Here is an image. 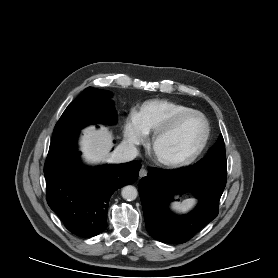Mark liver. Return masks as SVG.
<instances>
[{"instance_id":"obj_1","label":"liver","mask_w":278,"mask_h":278,"mask_svg":"<svg viewBox=\"0 0 278 278\" xmlns=\"http://www.w3.org/2000/svg\"><path fill=\"white\" fill-rule=\"evenodd\" d=\"M82 132L80 150L83 153L84 163L94 166L100 162H109L111 158L110 151L113 147L112 133L103 126L100 129L89 126Z\"/></svg>"}]
</instances>
